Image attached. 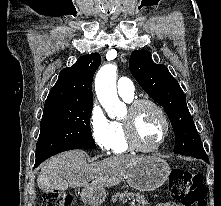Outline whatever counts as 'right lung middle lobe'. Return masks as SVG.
<instances>
[{"label":"right lung middle lobe","mask_w":221,"mask_h":206,"mask_svg":"<svg viewBox=\"0 0 221 206\" xmlns=\"http://www.w3.org/2000/svg\"><path fill=\"white\" fill-rule=\"evenodd\" d=\"M92 106L44 110L36 160L71 149H95L90 129Z\"/></svg>","instance_id":"1"}]
</instances>
